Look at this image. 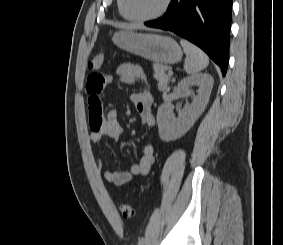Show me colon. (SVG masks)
Returning a JSON list of instances; mask_svg holds the SVG:
<instances>
[{"label": "colon", "instance_id": "1", "mask_svg": "<svg viewBox=\"0 0 283 245\" xmlns=\"http://www.w3.org/2000/svg\"><path fill=\"white\" fill-rule=\"evenodd\" d=\"M104 63V55L99 54L95 55L88 63V67L90 70H98L102 67ZM120 212L124 218H133L135 215V209L130 203H122L120 205Z\"/></svg>", "mask_w": 283, "mask_h": 245}]
</instances>
